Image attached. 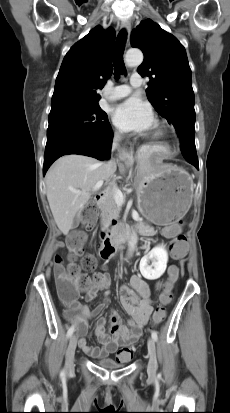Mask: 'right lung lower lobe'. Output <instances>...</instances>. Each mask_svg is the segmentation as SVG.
Instances as JSON below:
<instances>
[{"mask_svg": "<svg viewBox=\"0 0 230 413\" xmlns=\"http://www.w3.org/2000/svg\"><path fill=\"white\" fill-rule=\"evenodd\" d=\"M111 127L96 136H65L54 139L46 144L43 174L59 157L67 154H79L94 157L99 160L109 159L112 143Z\"/></svg>", "mask_w": 230, "mask_h": 413, "instance_id": "right-lung-lower-lobe-1", "label": "right lung lower lobe"}]
</instances>
